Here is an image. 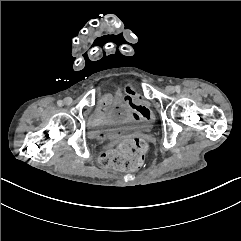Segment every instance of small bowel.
<instances>
[{
  "label": "small bowel",
  "instance_id": "c3829d8e",
  "mask_svg": "<svg viewBox=\"0 0 241 241\" xmlns=\"http://www.w3.org/2000/svg\"><path fill=\"white\" fill-rule=\"evenodd\" d=\"M138 98L140 101H137ZM111 103V97L105 95L101 98L97 113L99 115L103 114ZM120 110H129L130 119L139 126H146L153 123L155 117L150 109L149 105L144 101L142 96H138L135 89L131 84L125 86V95L123 97L121 105L118 107ZM126 134V131L122 128H109L107 130H102L94 134L98 139H111V138H121Z\"/></svg>",
  "mask_w": 241,
  "mask_h": 241
}]
</instances>
